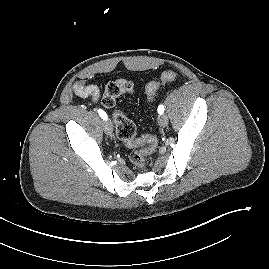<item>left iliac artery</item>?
<instances>
[{"instance_id":"1","label":"left iliac artery","mask_w":269,"mask_h":269,"mask_svg":"<svg viewBox=\"0 0 269 269\" xmlns=\"http://www.w3.org/2000/svg\"><path fill=\"white\" fill-rule=\"evenodd\" d=\"M158 113L163 114L164 113V106L161 104L158 106Z\"/></svg>"}]
</instances>
